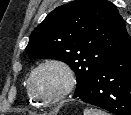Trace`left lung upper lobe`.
Instances as JSON below:
<instances>
[{
    "label": "left lung upper lobe",
    "instance_id": "5c2ea615",
    "mask_svg": "<svg viewBox=\"0 0 131 115\" xmlns=\"http://www.w3.org/2000/svg\"><path fill=\"white\" fill-rule=\"evenodd\" d=\"M130 40L123 18L107 0H75L57 7L30 35L31 60L57 59L76 74L78 96Z\"/></svg>",
    "mask_w": 131,
    "mask_h": 115
}]
</instances>
